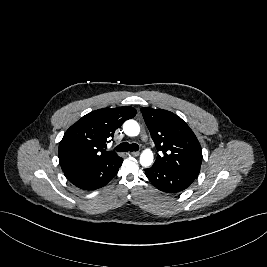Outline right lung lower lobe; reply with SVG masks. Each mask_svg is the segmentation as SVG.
Returning a JSON list of instances; mask_svg holds the SVG:
<instances>
[{
    "label": "right lung lower lobe",
    "mask_w": 267,
    "mask_h": 267,
    "mask_svg": "<svg viewBox=\"0 0 267 267\" xmlns=\"http://www.w3.org/2000/svg\"><path fill=\"white\" fill-rule=\"evenodd\" d=\"M123 159L119 156L64 172L67 179L80 189L96 190L106 185L118 172Z\"/></svg>",
    "instance_id": "right-lung-lower-lobe-1"
}]
</instances>
